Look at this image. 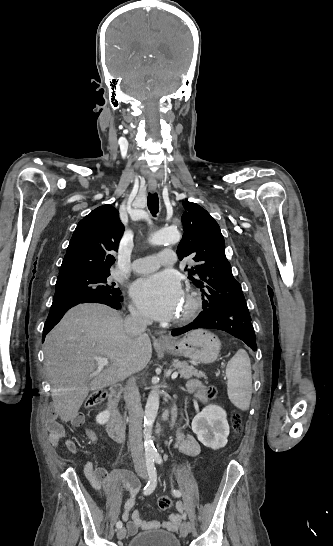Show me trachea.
<instances>
[{
	"label": "trachea",
	"mask_w": 333,
	"mask_h": 546,
	"mask_svg": "<svg viewBox=\"0 0 333 546\" xmlns=\"http://www.w3.org/2000/svg\"><path fill=\"white\" fill-rule=\"evenodd\" d=\"M147 205L151 214L155 216L159 211V199L157 193H149L147 197Z\"/></svg>",
	"instance_id": "3493384b"
}]
</instances>
